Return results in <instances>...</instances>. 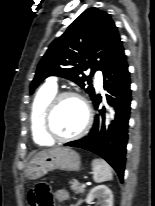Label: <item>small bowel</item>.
Listing matches in <instances>:
<instances>
[{"label": "small bowel", "instance_id": "1", "mask_svg": "<svg viewBox=\"0 0 155 206\" xmlns=\"http://www.w3.org/2000/svg\"><path fill=\"white\" fill-rule=\"evenodd\" d=\"M53 197L54 199L59 202V203H66L70 196L69 193L66 190H57L53 193ZM30 206H33L32 204H30Z\"/></svg>", "mask_w": 155, "mask_h": 206}]
</instances>
